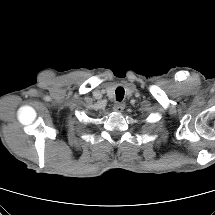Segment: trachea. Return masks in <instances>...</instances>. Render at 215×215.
<instances>
[{
    "label": "trachea",
    "mask_w": 215,
    "mask_h": 215,
    "mask_svg": "<svg viewBox=\"0 0 215 215\" xmlns=\"http://www.w3.org/2000/svg\"><path fill=\"white\" fill-rule=\"evenodd\" d=\"M115 93H116V100L122 101V99L124 98V89L122 87H118Z\"/></svg>",
    "instance_id": "obj_1"
}]
</instances>
